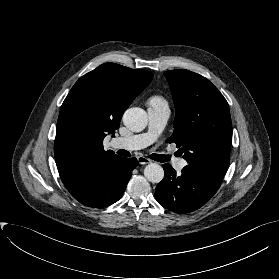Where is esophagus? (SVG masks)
<instances>
[{
  "label": "esophagus",
  "instance_id": "34e87169",
  "mask_svg": "<svg viewBox=\"0 0 279 279\" xmlns=\"http://www.w3.org/2000/svg\"><path fill=\"white\" fill-rule=\"evenodd\" d=\"M137 160H138L139 164H142V165L149 164L151 162L148 158L143 157V156H139L137 158Z\"/></svg>",
  "mask_w": 279,
  "mask_h": 279
}]
</instances>
